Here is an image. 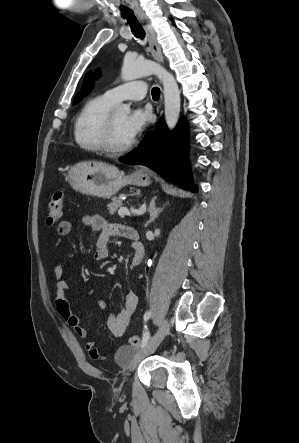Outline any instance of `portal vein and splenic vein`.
Returning a JSON list of instances; mask_svg holds the SVG:
<instances>
[{
    "label": "portal vein and splenic vein",
    "mask_w": 299,
    "mask_h": 443,
    "mask_svg": "<svg viewBox=\"0 0 299 443\" xmlns=\"http://www.w3.org/2000/svg\"><path fill=\"white\" fill-rule=\"evenodd\" d=\"M145 210H146V208H143V207H142V208H140L139 210L131 209V211H129L126 207H121V208L118 210V215H119V216H125V215L130 216L131 213L134 214V215H141V214H143V213L145 212Z\"/></svg>",
    "instance_id": "18ae733b"
}]
</instances>
